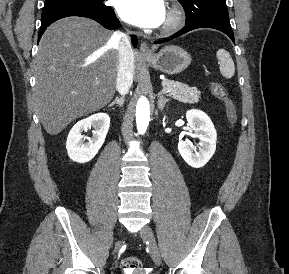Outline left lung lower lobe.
<instances>
[{"instance_id": "left-lung-lower-lobe-1", "label": "left lung lower lobe", "mask_w": 289, "mask_h": 274, "mask_svg": "<svg viewBox=\"0 0 289 274\" xmlns=\"http://www.w3.org/2000/svg\"><path fill=\"white\" fill-rule=\"evenodd\" d=\"M198 28H213L219 30L230 37V39L235 43L234 34L230 25L229 20L227 19H219V18H207L196 21L191 24H187L183 29L177 32L171 39L183 35L191 30L198 29ZM167 40H159L155 41V44H159L162 42H166Z\"/></svg>"}]
</instances>
